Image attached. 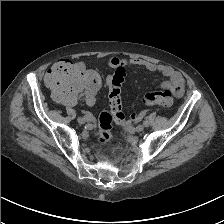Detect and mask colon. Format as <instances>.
Returning <instances> with one entry per match:
<instances>
[{
  "label": "colon",
  "mask_w": 224,
  "mask_h": 224,
  "mask_svg": "<svg viewBox=\"0 0 224 224\" xmlns=\"http://www.w3.org/2000/svg\"><path fill=\"white\" fill-rule=\"evenodd\" d=\"M124 78L125 71L118 68L110 80L109 107L101 111L98 120L99 144H106L111 140L113 120L122 126L127 123L121 102V85ZM46 83L59 102L73 106L81 99L92 97L99 89L101 79L97 73L80 64L60 60L47 72ZM145 102L149 105L169 107L173 104V94L169 90L149 92L145 95Z\"/></svg>",
  "instance_id": "1"
}]
</instances>
